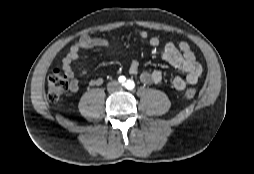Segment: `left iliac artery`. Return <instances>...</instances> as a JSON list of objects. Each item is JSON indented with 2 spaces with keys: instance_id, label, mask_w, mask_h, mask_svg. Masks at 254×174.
<instances>
[{
  "instance_id": "44dca946",
  "label": "left iliac artery",
  "mask_w": 254,
  "mask_h": 174,
  "mask_svg": "<svg viewBox=\"0 0 254 174\" xmlns=\"http://www.w3.org/2000/svg\"><path fill=\"white\" fill-rule=\"evenodd\" d=\"M125 86H126L127 89L132 90L135 87L134 81L133 80H128L126 82Z\"/></svg>"
}]
</instances>
